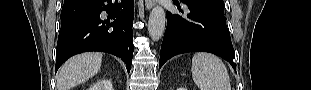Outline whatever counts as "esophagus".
<instances>
[{
  "mask_svg": "<svg viewBox=\"0 0 311 90\" xmlns=\"http://www.w3.org/2000/svg\"><path fill=\"white\" fill-rule=\"evenodd\" d=\"M155 3V0H145V7L147 10L151 9Z\"/></svg>",
  "mask_w": 311,
  "mask_h": 90,
  "instance_id": "1",
  "label": "esophagus"
}]
</instances>
